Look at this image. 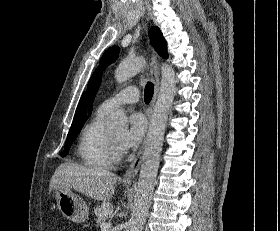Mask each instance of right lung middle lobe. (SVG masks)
<instances>
[{
	"label": "right lung middle lobe",
	"mask_w": 280,
	"mask_h": 231,
	"mask_svg": "<svg viewBox=\"0 0 280 231\" xmlns=\"http://www.w3.org/2000/svg\"><path fill=\"white\" fill-rule=\"evenodd\" d=\"M83 126L81 127H76V128H71L69 130V133L67 135V140L65 143V147H64V152L61 154L62 157L67 156L73 141L75 140V138L77 137V135L79 134L80 130L82 129Z\"/></svg>",
	"instance_id": "dd1d6c3e"
}]
</instances>
